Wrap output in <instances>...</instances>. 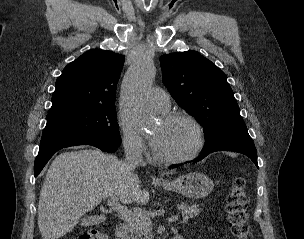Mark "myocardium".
Segmentation results:
<instances>
[{"label": "myocardium", "instance_id": "1", "mask_svg": "<svg viewBox=\"0 0 304 239\" xmlns=\"http://www.w3.org/2000/svg\"><path fill=\"white\" fill-rule=\"evenodd\" d=\"M165 122H173L178 120H183L190 123L196 133V141L193 148L186 154L175 157H168L159 155L154 151V159L163 164H180L196 158L205 145V130L202 124L192 115L185 112H174L165 114L163 116Z\"/></svg>", "mask_w": 304, "mask_h": 239}]
</instances>
